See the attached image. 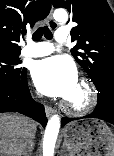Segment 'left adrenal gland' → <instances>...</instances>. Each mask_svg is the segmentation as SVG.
Wrapping results in <instances>:
<instances>
[{"label":"left adrenal gland","instance_id":"1","mask_svg":"<svg viewBox=\"0 0 114 156\" xmlns=\"http://www.w3.org/2000/svg\"><path fill=\"white\" fill-rule=\"evenodd\" d=\"M65 152L64 150V145L61 147V150H60V153H61V156H63V153Z\"/></svg>","mask_w":114,"mask_h":156}]
</instances>
